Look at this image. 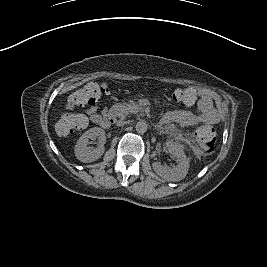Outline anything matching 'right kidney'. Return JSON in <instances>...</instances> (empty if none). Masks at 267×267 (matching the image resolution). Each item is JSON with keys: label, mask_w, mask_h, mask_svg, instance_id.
<instances>
[{"label": "right kidney", "mask_w": 267, "mask_h": 267, "mask_svg": "<svg viewBox=\"0 0 267 267\" xmlns=\"http://www.w3.org/2000/svg\"><path fill=\"white\" fill-rule=\"evenodd\" d=\"M97 139V141H96ZM96 141V147L88 146L92 141ZM106 143L105 131L100 127H93L83 133V135L76 142L74 153L78 160L84 163H89L100 158L104 151V144Z\"/></svg>", "instance_id": "ca27d5eb"}]
</instances>
